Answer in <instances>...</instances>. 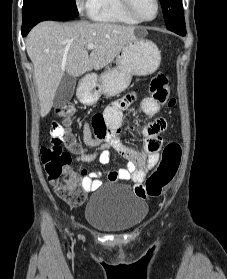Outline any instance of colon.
<instances>
[{"mask_svg": "<svg viewBox=\"0 0 227 279\" xmlns=\"http://www.w3.org/2000/svg\"><path fill=\"white\" fill-rule=\"evenodd\" d=\"M150 89L156 101L168 107L175 106L176 99L170 95L167 89V77L164 73L156 75L150 82ZM74 111L75 108L71 104L58 110L59 119L53 122L50 144L41 148V162L46 169L48 179L53 183L59 197L71 205H76L81 200L78 193L79 183L68 169L71 163V155L61 148V144L64 141L62 121L71 118ZM92 124L97 133H103L106 130L105 121L99 114L93 116ZM69 142L72 143V140H69ZM181 155L182 150L178 142L167 143L158 166L146 179L143 189L134 188L135 195L143 199L161 196L163 190L170 185L176 176Z\"/></svg>", "mask_w": 227, "mask_h": 279, "instance_id": "obj_1", "label": "colon"}]
</instances>
